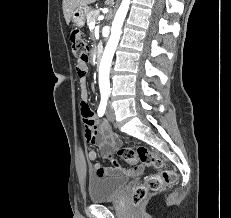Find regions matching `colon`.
<instances>
[{"label": "colon", "instance_id": "obj_1", "mask_svg": "<svg viewBox=\"0 0 231 218\" xmlns=\"http://www.w3.org/2000/svg\"><path fill=\"white\" fill-rule=\"evenodd\" d=\"M70 42L74 56L77 58L88 56L89 46L79 29L71 31ZM116 152L123 160L131 164L142 163L146 166L159 169L158 172L148 175L142 184L134 188L132 193V202L134 205H138L143 201L149 192L158 191L177 180V173L173 169L165 168L163 160L145 146H138L136 148L119 146ZM115 164H117V161Z\"/></svg>", "mask_w": 231, "mask_h": 218}]
</instances>
